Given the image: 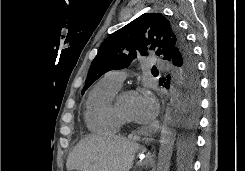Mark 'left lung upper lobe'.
Listing matches in <instances>:
<instances>
[{"instance_id":"1","label":"left lung upper lobe","mask_w":245,"mask_h":171,"mask_svg":"<svg viewBox=\"0 0 245 171\" xmlns=\"http://www.w3.org/2000/svg\"><path fill=\"white\" fill-rule=\"evenodd\" d=\"M154 50L164 60L172 61L177 54L182 61H195L192 50L175 22L161 13H145L111 34L100 46L91 63L81 94L108 71L123 69L138 54Z\"/></svg>"}]
</instances>
